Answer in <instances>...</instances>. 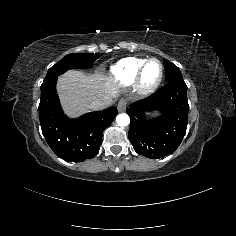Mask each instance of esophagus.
<instances>
[{"label": "esophagus", "instance_id": "obj_1", "mask_svg": "<svg viewBox=\"0 0 236 236\" xmlns=\"http://www.w3.org/2000/svg\"><path fill=\"white\" fill-rule=\"evenodd\" d=\"M127 102L124 99H121L117 104V109L119 112H123L126 110Z\"/></svg>", "mask_w": 236, "mask_h": 236}]
</instances>
